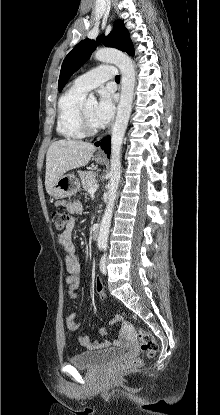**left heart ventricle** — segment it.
<instances>
[{
  "mask_svg": "<svg viewBox=\"0 0 220 415\" xmlns=\"http://www.w3.org/2000/svg\"><path fill=\"white\" fill-rule=\"evenodd\" d=\"M96 104L94 102H86L85 103V111L88 118V121L92 127H99V124L96 122L94 118V109Z\"/></svg>",
  "mask_w": 220,
  "mask_h": 415,
  "instance_id": "left-heart-ventricle-1",
  "label": "left heart ventricle"
}]
</instances>
